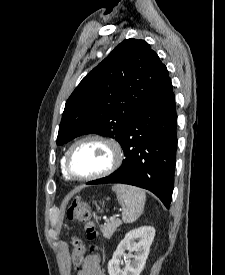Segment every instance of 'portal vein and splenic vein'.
Instances as JSON below:
<instances>
[{"instance_id": "portal-vein-and-splenic-vein-1", "label": "portal vein and splenic vein", "mask_w": 225, "mask_h": 275, "mask_svg": "<svg viewBox=\"0 0 225 275\" xmlns=\"http://www.w3.org/2000/svg\"><path fill=\"white\" fill-rule=\"evenodd\" d=\"M114 217H118V215L116 214V215H114Z\"/></svg>"}]
</instances>
